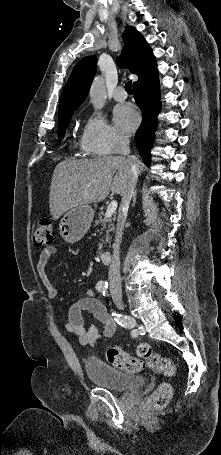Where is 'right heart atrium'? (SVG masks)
Wrapping results in <instances>:
<instances>
[{
	"mask_svg": "<svg viewBox=\"0 0 221 455\" xmlns=\"http://www.w3.org/2000/svg\"><path fill=\"white\" fill-rule=\"evenodd\" d=\"M126 138L114 126L97 115H90L81 134V148L87 155H111L124 144Z\"/></svg>",
	"mask_w": 221,
	"mask_h": 455,
	"instance_id": "right-heart-atrium-1",
	"label": "right heart atrium"
}]
</instances>
